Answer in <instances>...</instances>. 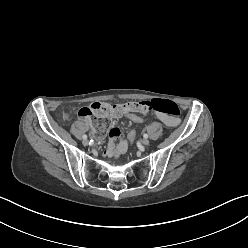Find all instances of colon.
Here are the masks:
<instances>
[{"mask_svg":"<svg viewBox=\"0 0 248 248\" xmlns=\"http://www.w3.org/2000/svg\"><path fill=\"white\" fill-rule=\"evenodd\" d=\"M122 109L148 114L154 110L165 113L171 117L177 118L180 114L178 105L171 100L154 99L152 101H134L122 104V107L111 105L108 103H95L90 107H82L78 111V116L82 119H93L92 124L95 127L93 135L96 139L101 140L105 137L108 129L112 127L110 118L117 116L122 112ZM124 116L136 123L139 127L144 124L152 125L155 119L152 116L135 114L133 112H124ZM136 134L133 131L128 132L127 138L130 143L135 140Z\"/></svg>","mask_w":248,"mask_h":248,"instance_id":"5ec220e1","label":"colon"}]
</instances>
